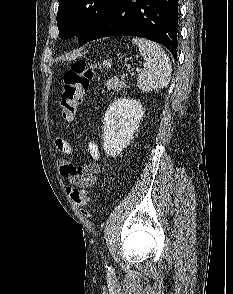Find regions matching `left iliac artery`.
<instances>
[{
	"instance_id": "obj_1",
	"label": "left iliac artery",
	"mask_w": 233,
	"mask_h": 294,
	"mask_svg": "<svg viewBox=\"0 0 233 294\" xmlns=\"http://www.w3.org/2000/svg\"><path fill=\"white\" fill-rule=\"evenodd\" d=\"M106 267L110 268V267L107 265V263H106Z\"/></svg>"
}]
</instances>
